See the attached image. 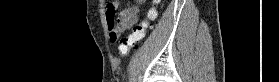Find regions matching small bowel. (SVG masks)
Instances as JSON below:
<instances>
[{
    "mask_svg": "<svg viewBox=\"0 0 279 82\" xmlns=\"http://www.w3.org/2000/svg\"><path fill=\"white\" fill-rule=\"evenodd\" d=\"M136 5L128 6L121 10L116 18L115 10L119 6L118 1L106 4V20L109 25L110 39L113 43L118 41L119 36L127 29L134 26L139 18V5L143 0H137Z\"/></svg>",
    "mask_w": 279,
    "mask_h": 82,
    "instance_id": "c3829d8e",
    "label": "small bowel"
}]
</instances>
